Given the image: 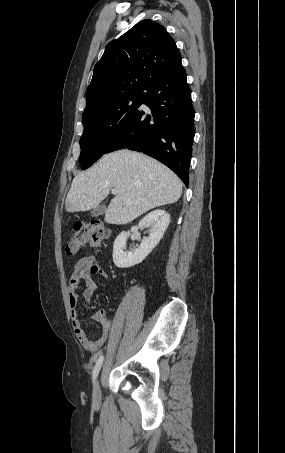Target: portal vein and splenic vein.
I'll list each match as a JSON object with an SVG mask.
<instances>
[{"instance_id": "obj_1", "label": "portal vein and splenic vein", "mask_w": 285, "mask_h": 453, "mask_svg": "<svg viewBox=\"0 0 285 453\" xmlns=\"http://www.w3.org/2000/svg\"><path fill=\"white\" fill-rule=\"evenodd\" d=\"M111 192H112V194H114V195H115V194H117V193H118V190H117V189H115V188H113V189H111Z\"/></svg>"}]
</instances>
